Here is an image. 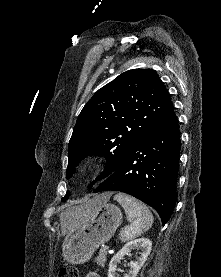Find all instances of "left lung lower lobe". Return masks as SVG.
Wrapping results in <instances>:
<instances>
[{"instance_id": "left-lung-lower-lobe-1", "label": "left lung lower lobe", "mask_w": 221, "mask_h": 277, "mask_svg": "<svg viewBox=\"0 0 221 277\" xmlns=\"http://www.w3.org/2000/svg\"><path fill=\"white\" fill-rule=\"evenodd\" d=\"M180 132L174 108L129 149L94 193L121 191L153 207L164 225L176 203Z\"/></svg>"}]
</instances>
